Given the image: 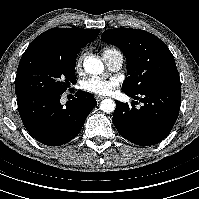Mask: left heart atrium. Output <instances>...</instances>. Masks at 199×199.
<instances>
[{
    "instance_id": "39dd6f15",
    "label": "left heart atrium",
    "mask_w": 199,
    "mask_h": 199,
    "mask_svg": "<svg viewBox=\"0 0 199 199\" xmlns=\"http://www.w3.org/2000/svg\"><path fill=\"white\" fill-rule=\"evenodd\" d=\"M117 85L116 79L100 76L89 77L81 82V88L84 91L95 95H108Z\"/></svg>"
}]
</instances>
